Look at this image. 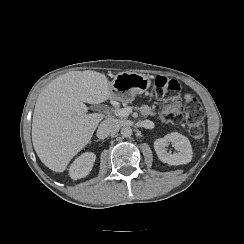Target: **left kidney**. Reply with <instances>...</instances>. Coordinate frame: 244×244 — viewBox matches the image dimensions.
Returning a JSON list of instances; mask_svg holds the SVG:
<instances>
[{"instance_id": "5707ae66", "label": "left kidney", "mask_w": 244, "mask_h": 244, "mask_svg": "<svg viewBox=\"0 0 244 244\" xmlns=\"http://www.w3.org/2000/svg\"><path fill=\"white\" fill-rule=\"evenodd\" d=\"M178 151L177 153L167 152L166 147L169 143ZM154 149L158 158L163 163L169 165L187 164L192 160V147L187 137L178 132H172L165 135L163 138H158L154 142Z\"/></svg>"}]
</instances>
